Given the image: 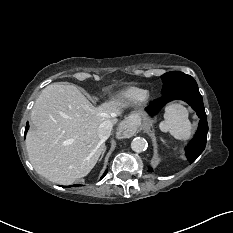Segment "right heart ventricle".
I'll list each match as a JSON object with an SVG mask.
<instances>
[{
  "label": "right heart ventricle",
  "instance_id": "1",
  "mask_svg": "<svg viewBox=\"0 0 233 233\" xmlns=\"http://www.w3.org/2000/svg\"><path fill=\"white\" fill-rule=\"evenodd\" d=\"M122 97L130 102H138L143 100L144 91L135 87H131L122 92Z\"/></svg>",
  "mask_w": 233,
  "mask_h": 233
}]
</instances>
